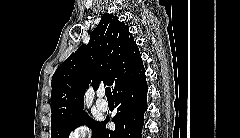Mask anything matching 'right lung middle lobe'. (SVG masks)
<instances>
[{
  "instance_id": "right-lung-middle-lobe-1",
  "label": "right lung middle lobe",
  "mask_w": 240,
  "mask_h": 138,
  "mask_svg": "<svg viewBox=\"0 0 240 138\" xmlns=\"http://www.w3.org/2000/svg\"><path fill=\"white\" fill-rule=\"evenodd\" d=\"M83 124H87L93 129V136L98 131L101 123L97 121H93L88 117V115L83 111L79 115L75 116L74 118L51 125V138H68L69 133Z\"/></svg>"
}]
</instances>
